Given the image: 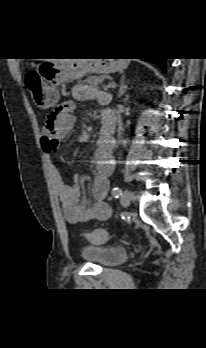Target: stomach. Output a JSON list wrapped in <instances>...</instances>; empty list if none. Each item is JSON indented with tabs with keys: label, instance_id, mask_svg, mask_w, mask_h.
<instances>
[{
	"label": "stomach",
	"instance_id": "1",
	"mask_svg": "<svg viewBox=\"0 0 206 348\" xmlns=\"http://www.w3.org/2000/svg\"><path fill=\"white\" fill-rule=\"evenodd\" d=\"M125 67V61L121 59H67L60 62H43L38 66L37 72L53 88H57L88 74L108 75L122 71ZM58 99L57 94L49 96L45 91H41L39 96L35 97V103L39 108L46 109L54 106Z\"/></svg>",
	"mask_w": 206,
	"mask_h": 348
}]
</instances>
